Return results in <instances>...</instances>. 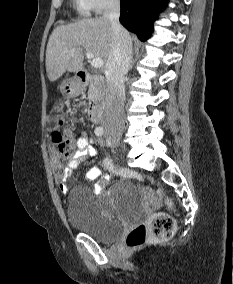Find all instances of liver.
<instances>
[{
	"label": "liver",
	"mask_w": 233,
	"mask_h": 284,
	"mask_svg": "<svg viewBox=\"0 0 233 284\" xmlns=\"http://www.w3.org/2000/svg\"><path fill=\"white\" fill-rule=\"evenodd\" d=\"M112 42V26L104 17L82 19L56 27L50 35L46 49L48 79L54 82L66 71L84 70L83 49L92 52L96 58H101L107 63ZM72 49L76 51L72 53Z\"/></svg>",
	"instance_id": "obj_1"
}]
</instances>
